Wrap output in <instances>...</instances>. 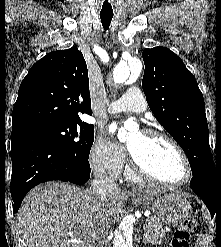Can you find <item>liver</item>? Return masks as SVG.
Segmentation results:
<instances>
[{
  "label": "liver",
  "mask_w": 221,
  "mask_h": 247,
  "mask_svg": "<svg viewBox=\"0 0 221 247\" xmlns=\"http://www.w3.org/2000/svg\"><path fill=\"white\" fill-rule=\"evenodd\" d=\"M163 192L143 190L149 196ZM131 196V192L116 189L102 200L91 189L47 182L24 198L18 226L28 247H90L89 241L108 235L111 218L121 213Z\"/></svg>",
  "instance_id": "liver-1"
}]
</instances>
